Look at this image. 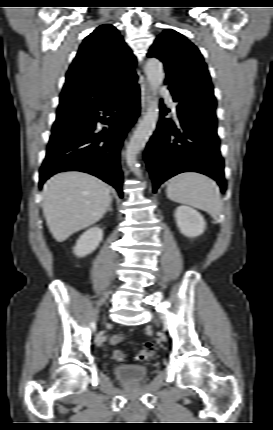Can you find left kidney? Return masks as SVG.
<instances>
[{
    "mask_svg": "<svg viewBox=\"0 0 273 430\" xmlns=\"http://www.w3.org/2000/svg\"><path fill=\"white\" fill-rule=\"evenodd\" d=\"M175 219L180 232L189 238L201 235L206 228V222L200 212L189 206H179Z\"/></svg>",
    "mask_w": 273,
    "mask_h": 430,
    "instance_id": "5707ae66",
    "label": "left kidney"
}]
</instances>
